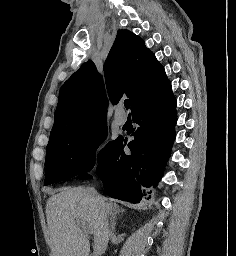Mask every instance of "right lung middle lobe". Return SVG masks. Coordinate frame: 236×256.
Instances as JSON below:
<instances>
[{"instance_id": "dd1d6c3e", "label": "right lung middle lobe", "mask_w": 236, "mask_h": 256, "mask_svg": "<svg viewBox=\"0 0 236 256\" xmlns=\"http://www.w3.org/2000/svg\"><path fill=\"white\" fill-rule=\"evenodd\" d=\"M107 136L105 121L82 125L60 137L50 139L46 148L44 185L87 176L102 163L117 140L109 142L96 155V149Z\"/></svg>"}]
</instances>
